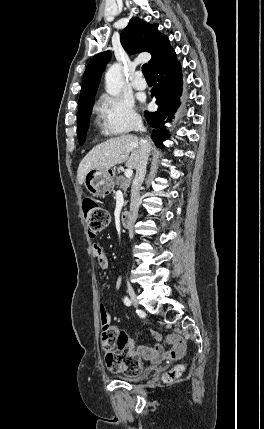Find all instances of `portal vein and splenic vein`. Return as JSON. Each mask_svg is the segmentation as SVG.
<instances>
[{"label":"portal vein and splenic vein","instance_id":"1","mask_svg":"<svg viewBox=\"0 0 264 429\" xmlns=\"http://www.w3.org/2000/svg\"><path fill=\"white\" fill-rule=\"evenodd\" d=\"M124 174H125L126 178H131L132 174H133V170L131 168H128V169L125 170Z\"/></svg>","mask_w":264,"mask_h":429}]
</instances>
